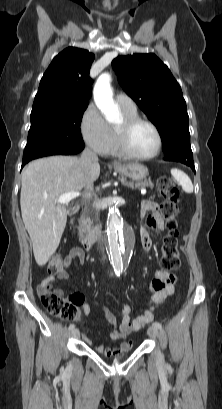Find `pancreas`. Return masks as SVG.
<instances>
[{
    "label": "pancreas",
    "instance_id": "cf45deb5",
    "mask_svg": "<svg viewBox=\"0 0 222 409\" xmlns=\"http://www.w3.org/2000/svg\"><path fill=\"white\" fill-rule=\"evenodd\" d=\"M119 179L121 180V182L127 184L130 187L141 188V189L147 186H150L151 188L153 187V183L150 180H145L144 182H139L134 185L133 182H127L124 177H121ZM92 224L93 222L90 219L89 212L87 209H85L82 215L80 216L79 226H78V230H79L78 235L81 240L89 238L92 235V230H93Z\"/></svg>",
    "mask_w": 222,
    "mask_h": 409
}]
</instances>
